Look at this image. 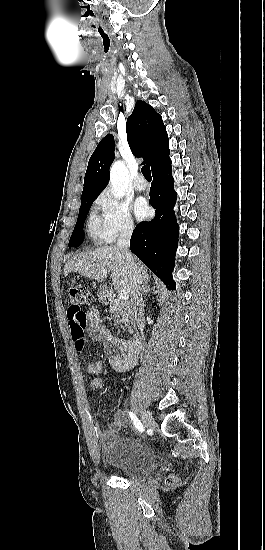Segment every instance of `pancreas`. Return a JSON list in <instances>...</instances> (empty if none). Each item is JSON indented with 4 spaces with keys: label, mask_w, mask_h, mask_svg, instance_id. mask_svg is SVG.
Wrapping results in <instances>:
<instances>
[{
    "label": "pancreas",
    "mask_w": 265,
    "mask_h": 550,
    "mask_svg": "<svg viewBox=\"0 0 265 550\" xmlns=\"http://www.w3.org/2000/svg\"><path fill=\"white\" fill-rule=\"evenodd\" d=\"M109 313L118 319V323H122L126 327L135 324L134 309L129 302L122 301L119 298L115 299L110 304Z\"/></svg>",
    "instance_id": "cf45deb5"
}]
</instances>
